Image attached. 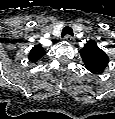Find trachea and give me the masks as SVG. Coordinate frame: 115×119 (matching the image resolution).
Returning a JSON list of instances; mask_svg holds the SVG:
<instances>
[{"mask_svg":"<svg viewBox=\"0 0 115 119\" xmlns=\"http://www.w3.org/2000/svg\"><path fill=\"white\" fill-rule=\"evenodd\" d=\"M67 35L73 36V30L69 26L64 27L62 30V37L67 36Z\"/></svg>","mask_w":115,"mask_h":119,"instance_id":"obj_1","label":"trachea"}]
</instances>
